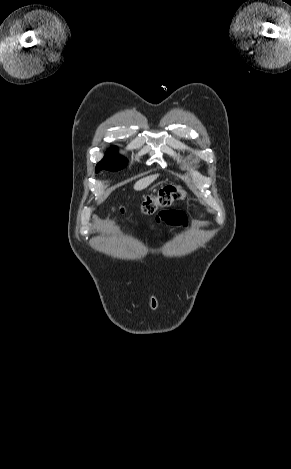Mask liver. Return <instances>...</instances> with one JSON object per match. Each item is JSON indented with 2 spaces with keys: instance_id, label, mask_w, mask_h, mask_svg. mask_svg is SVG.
Returning <instances> with one entry per match:
<instances>
[{
  "instance_id": "1",
  "label": "liver",
  "mask_w": 291,
  "mask_h": 469,
  "mask_svg": "<svg viewBox=\"0 0 291 469\" xmlns=\"http://www.w3.org/2000/svg\"><path fill=\"white\" fill-rule=\"evenodd\" d=\"M159 175H150L138 180L134 185V190L140 191L147 188L152 182H154Z\"/></svg>"
}]
</instances>
